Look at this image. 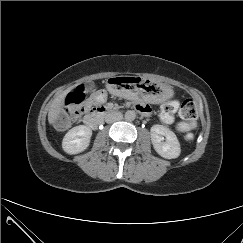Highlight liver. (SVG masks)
<instances>
[{"instance_id": "1", "label": "liver", "mask_w": 243, "mask_h": 243, "mask_svg": "<svg viewBox=\"0 0 243 243\" xmlns=\"http://www.w3.org/2000/svg\"><path fill=\"white\" fill-rule=\"evenodd\" d=\"M72 89L73 87L68 88L53 100L48 112V121L50 124H53L59 117L64 106V99L67 93L70 92Z\"/></svg>"}]
</instances>
